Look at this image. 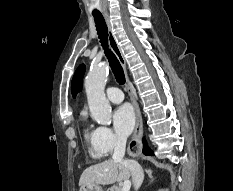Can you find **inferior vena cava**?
I'll list each match as a JSON object with an SVG mask.
<instances>
[{"label": "inferior vena cava", "instance_id": "obj_1", "mask_svg": "<svg viewBox=\"0 0 233 191\" xmlns=\"http://www.w3.org/2000/svg\"><path fill=\"white\" fill-rule=\"evenodd\" d=\"M125 148L126 138L118 137L114 145V153L112 158L114 161L120 162L129 168L131 171L134 188L137 191L144 179L143 169L136 160H124Z\"/></svg>", "mask_w": 233, "mask_h": 191}]
</instances>
